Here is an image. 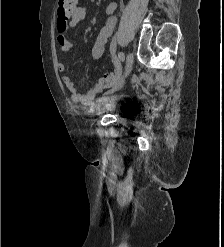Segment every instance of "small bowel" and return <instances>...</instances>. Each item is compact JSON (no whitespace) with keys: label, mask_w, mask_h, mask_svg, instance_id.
Instances as JSON below:
<instances>
[{"label":"small bowel","mask_w":224,"mask_h":247,"mask_svg":"<svg viewBox=\"0 0 224 247\" xmlns=\"http://www.w3.org/2000/svg\"><path fill=\"white\" fill-rule=\"evenodd\" d=\"M117 8V4L115 2L110 3L106 8V13L108 14V19L105 25L100 29L91 49V55L93 59H99L104 52L106 43L111 36L116 23L117 16L115 15V11ZM87 16V9L83 6L77 7L75 12L73 13L68 27L72 28L77 26L82 20H84ZM56 41L59 45L61 52L70 53L72 50V43L67 39L65 35V30H58ZM58 70L60 72H64L66 70V65L64 63L58 64ZM62 81L71 95V98L74 101H88L95 97L97 94L101 93L103 90V86L100 84H95L93 87L86 91H78L72 81V79L64 75L62 77Z\"/></svg>","instance_id":"small-bowel-1"}]
</instances>
